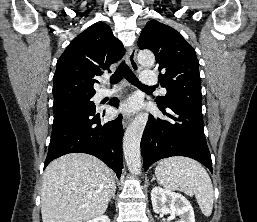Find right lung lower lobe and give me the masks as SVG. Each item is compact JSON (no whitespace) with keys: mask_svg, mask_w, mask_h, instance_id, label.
Returning a JSON list of instances; mask_svg holds the SVG:
<instances>
[{"mask_svg":"<svg viewBox=\"0 0 257 222\" xmlns=\"http://www.w3.org/2000/svg\"><path fill=\"white\" fill-rule=\"evenodd\" d=\"M111 105L118 107V99ZM104 115V113H103ZM102 114H71L54 120L44 168L54 159L74 152L96 156L120 178L122 172V116L102 123Z\"/></svg>","mask_w":257,"mask_h":222,"instance_id":"right-lung-lower-lobe-1","label":"right lung lower lobe"}]
</instances>
